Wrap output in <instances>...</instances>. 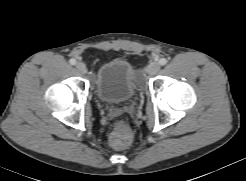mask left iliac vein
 <instances>
[{
	"mask_svg": "<svg viewBox=\"0 0 246 181\" xmlns=\"http://www.w3.org/2000/svg\"><path fill=\"white\" fill-rule=\"evenodd\" d=\"M160 70V65L157 62H151L147 68L149 75H155Z\"/></svg>",
	"mask_w": 246,
	"mask_h": 181,
	"instance_id": "left-iliac-vein-1",
	"label": "left iliac vein"
}]
</instances>
